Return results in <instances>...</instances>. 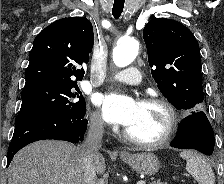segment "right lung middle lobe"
Here are the masks:
<instances>
[{"mask_svg": "<svg viewBox=\"0 0 224 184\" xmlns=\"http://www.w3.org/2000/svg\"><path fill=\"white\" fill-rule=\"evenodd\" d=\"M21 98L22 105L15 126L42 115L81 117L86 114L85 99L76 82H30L25 84Z\"/></svg>", "mask_w": 224, "mask_h": 184, "instance_id": "right-lung-middle-lobe-1", "label": "right lung middle lobe"}]
</instances>
